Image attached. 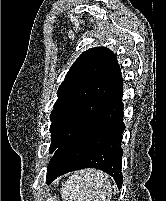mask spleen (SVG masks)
<instances>
[{"label":"spleen","instance_id":"1","mask_svg":"<svg viewBox=\"0 0 166 201\" xmlns=\"http://www.w3.org/2000/svg\"><path fill=\"white\" fill-rule=\"evenodd\" d=\"M111 183L99 170L87 169L72 174L63 184V201H110Z\"/></svg>","mask_w":166,"mask_h":201}]
</instances>
